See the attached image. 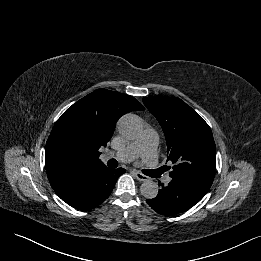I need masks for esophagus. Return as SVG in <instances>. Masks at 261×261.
Here are the masks:
<instances>
[{
	"label": "esophagus",
	"mask_w": 261,
	"mask_h": 261,
	"mask_svg": "<svg viewBox=\"0 0 261 261\" xmlns=\"http://www.w3.org/2000/svg\"><path fill=\"white\" fill-rule=\"evenodd\" d=\"M135 177L139 180V181H146L148 180V177L140 172H134Z\"/></svg>",
	"instance_id": "obj_1"
}]
</instances>
